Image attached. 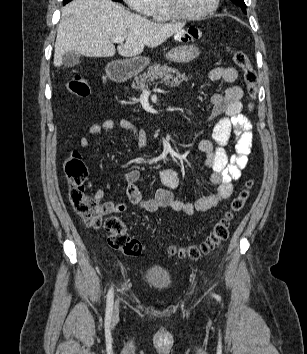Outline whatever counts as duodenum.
I'll use <instances>...</instances> for the list:
<instances>
[{"instance_id": "obj_1", "label": "duodenum", "mask_w": 307, "mask_h": 354, "mask_svg": "<svg viewBox=\"0 0 307 354\" xmlns=\"http://www.w3.org/2000/svg\"><path fill=\"white\" fill-rule=\"evenodd\" d=\"M111 76L114 81H121L124 78V74L120 70H114Z\"/></svg>"}]
</instances>
